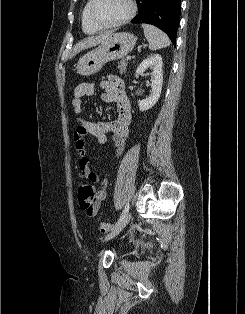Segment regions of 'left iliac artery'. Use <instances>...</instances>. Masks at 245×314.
Here are the masks:
<instances>
[{"label":"left iliac artery","instance_id":"44dca946","mask_svg":"<svg viewBox=\"0 0 245 314\" xmlns=\"http://www.w3.org/2000/svg\"><path fill=\"white\" fill-rule=\"evenodd\" d=\"M129 211V204L125 206L118 222L116 223L115 227L119 224V222L124 218L125 214Z\"/></svg>","mask_w":245,"mask_h":314}]
</instances>
